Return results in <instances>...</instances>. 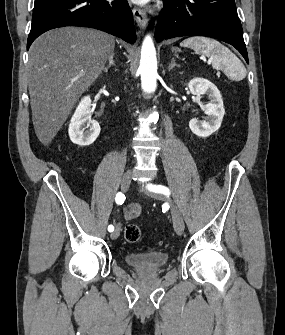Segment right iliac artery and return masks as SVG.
<instances>
[{
    "mask_svg": "<svg viewBox=\"0 0 285 335\" xmlns=\"http://www.w3.org/2000/svg\"><path fill=\"white\" fill-rule=\"evenodd\" d=\"M124 200H125V195L122 194L121 192H118V193L116 194V197H115V201H116V203H117L118 205H122V204L124 203ZM108 231H109V232L114 231V227H113V225H109V226H108Z\"/></svg>",
    "mask_w": 285,
    "mask_h": 335,
    "instance_id": "right-iliac-artery-1",
    "label": "right iliac artery"
}]
</instances>
